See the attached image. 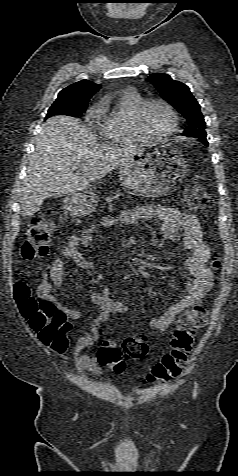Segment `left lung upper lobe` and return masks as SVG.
Here are the masks:
<instances>
[{
	"label": "left lung upper lobe",
	"instance_id": "obj_1",
	"mask_svg": "<svg viewBox=\"0 0 238 476\" xmlns=\"http://www.w3.org/2000/svg\"><path fill=\"white\" fill-rule=\"evenodd\" d=\"M162 98L172 104L188 121L189 126L183 134L197 137L206 144L205 121L200 105L187 85L173 80L168 74L153 73L149 76Z\"/></svg>",
	"mask_w": 238,
	"mask_h": 476
}]
</instances>
